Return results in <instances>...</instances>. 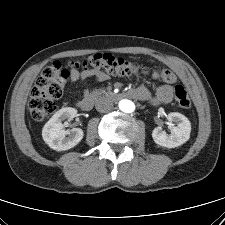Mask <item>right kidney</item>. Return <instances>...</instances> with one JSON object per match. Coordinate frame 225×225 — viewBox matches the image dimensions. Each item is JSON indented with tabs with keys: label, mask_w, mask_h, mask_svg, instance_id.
I'll use <instances>...</instances> for the list:
<instances>
[{
	"label": "right kidney",
	"mask_w": 225,
	"mask_h": 225,
	"mask_svg": "<svg viewBox=\"0 0 225 225\" xmlns=\"http://www.w3.org/2000/svg\"><path fill=\"white\" fill-rule=\"evenodd\" d=\"M77 115L75 108L66 107L57 111L44 125L42 137L45 143L56 151H65L76 146L83 138L84 132L80 128L65 130L63 121L72 120Z\"/></svg>",
	"instance_id": "1"
}]
</instances>
